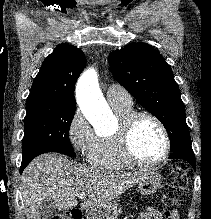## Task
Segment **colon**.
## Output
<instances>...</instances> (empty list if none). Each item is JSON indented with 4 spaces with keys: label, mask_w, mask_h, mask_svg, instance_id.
Segmentation results:
<instances>
[{
    "label": "colon",
    "mask_w": 211,
    "mask_h": 219,
    "mask_svg": "<svg viewBox=\"0 0 211 219\" xmlns=\"http://www.w3.org/2000/svg\"><path fill=\"white\" fill-rule=\"evenodd\" d=\"M187 170L184 164L176 163L172 166L167 182L162 187L164 206L171 208L179 205L186 192ZM51 219H81V213L72 210L70 213L54 216Z\"/></svg>",
    "instance_id": "obj_1"
}]
</instances>
